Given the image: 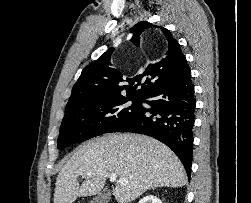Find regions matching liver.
<instances>
[{
  "instance_id": "1",
  "label": "liver",
  "mask_w": 251,
  "mask_h": 203,
  "mask_svg": "<svg viewBox=\"0 0 251 203\" xmlns=\"http://www.w3.org/2000/svg\"><path fill=\"white\" fill-rule=\"evenodd\" d=\"M112 173L126 180L113 187L118 203H129L152 188L186 184L182 163L163 143L139 134H107L82 144L66 161L53 201L73 203L78 197L99 194ZM80 176L85 178L82 185Z\"/></svg>"
}]
</instances>
